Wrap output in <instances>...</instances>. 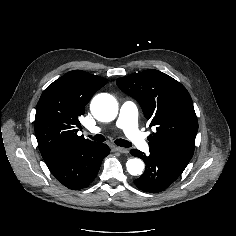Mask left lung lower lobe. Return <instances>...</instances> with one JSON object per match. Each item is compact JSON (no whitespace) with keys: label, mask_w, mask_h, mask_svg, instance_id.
Returning <instances> with one entry per match:
<instances>
[{"label":"left lung lower lobe","mask_w":236,"mask_h":236,"mask_svg":"<svg viewBox=\"0 0 236 236\" xmlns=\"http://www.w3.org/2000/svg\"><path fill=\"white\" fill-rule=\"evenodd\" d=\"M130 153L140 157L146 164L144 173L135 180L136 186L150 193H158L170 186L184 171L187 165L150 148V155L133 149Z\"/></svg>","instance_id":"obj_1"}]
</instances>
